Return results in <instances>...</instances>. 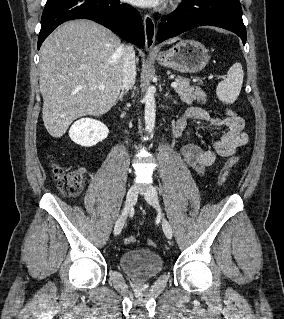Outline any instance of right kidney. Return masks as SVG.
I'll list each match as a JSON object with an SVG mask.
<instances>
[{
  "mask_svg": "<svg viewBox=\"0 0 284 319\" xmlns=\"http://www.w3.org/2000/svg\"><path fill=\"white\" fill-rule=\"evenodd\" d=\"M109 130L102 122L82 118L77 120L69 130V136L73 142L83 147H92L107 138Z\"/></svg>",
  "mask_w": 284,
  "mask_h": 319,
  "instance_id": "obj_1",
  "label": "right kidney"
}]
</instances>
